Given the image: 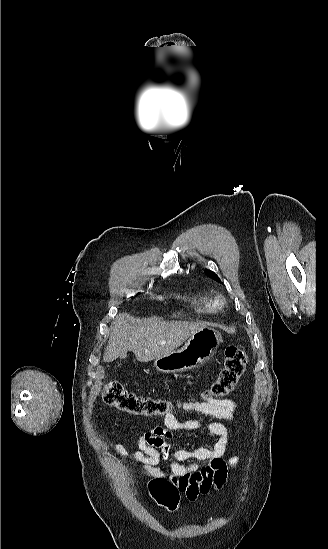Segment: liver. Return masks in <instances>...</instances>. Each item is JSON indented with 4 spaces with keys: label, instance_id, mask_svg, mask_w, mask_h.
<instances>
[{
    "label": "liver",
    "instance_id": "1",
    "mask_svg": "<svg viewBox=\"0 0 328 549\" xmlns=\"http://www.w3.org/2000/svg\"><path fill=\"white\" fill-rule=\"evenodd\" d=\"M205 327L194 321H161L157 317L135 319L128 313L117 315L112 323L110 341L103 355L104 363L126 359L127 351L134 353L140 363L174 353L189 337Z\"/></svg>",
    "mask_w": 328,
    "mask_h": 549
}]
</instances>
